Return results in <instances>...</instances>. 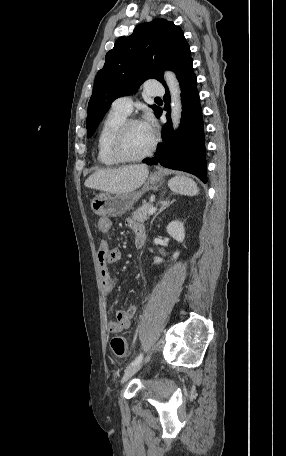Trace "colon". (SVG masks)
<instances>
[{
    "label": "colon",
    "instance_id": "colon-1",
    "mask_svg": "<svg viewBox=\"0 0 286 456\" xmlns=\"http://www.w3.org/2000/svg\"><path fill=\"white\" fill-rule=\"evenodd\" d=\"M111 348L117 357H124L128 351L126 339L122 336L114 337L111 340Z\"/></svg>",
    "mask_w": 286,
    "mask_h": 456
}]
</instances>
